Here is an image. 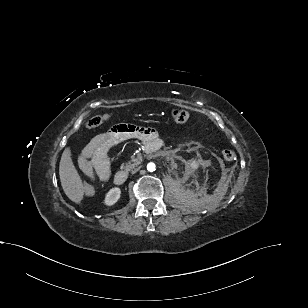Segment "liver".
<instances>
[{"mask_svg":"<svg viewBox=\"0 0 308 308\" xmlns=\"http://www.w3.org/2000/svg\"><path fill=\"white\" fill-rule=\"evenodd\" d=\"M59 175L66 196L73 202L80 203L84 195V186L73 164L70 147H67L61 156Z\"/></svg>","mask_w":308,"mask_h":308,"instance_id":"liver-1","label":"liver"}]
</instances>
